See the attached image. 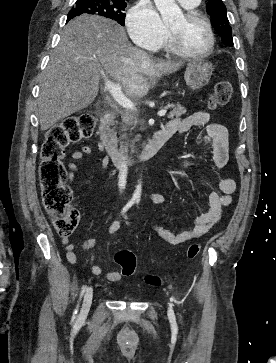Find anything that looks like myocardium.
<instances>
[{
    "label": "myocardium",
    "instance_id": "f54148a6",
    "mask_svg": "<svg viewBox=\"0 0 276 363\" xmlns=\"http://www.w3.org/2000/svg\"><path fill=\"white\" fill-rule=\"evenodd\" d=\"M184 18L188 22L201 21L204 23V25L207 29V32H208V36H209L208 47L203 52H200V53L191 52L181 45L176 33L174 32V30H172L170 28L169 44H170L171 50L174 53H176L182 57L188 58V59L202 60V59L208 57L215 48V35H214L213 28H212V25H211L209 19L204 14L200 13L197 10H190V11L185 12Z\"/></svg>",
    "mask_w": 276,
    "mask_h": 363
}]
</instances>
